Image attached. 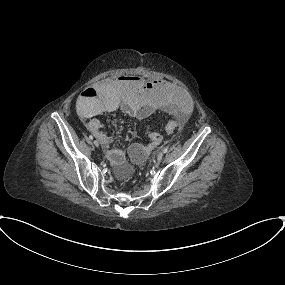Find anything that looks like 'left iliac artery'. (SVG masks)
<instances>
[{
  "mask_svg": "<svg viewBox=\"0 0 285 285\" xmlns=\"http://www.w3.org/2000/svg\"><path fill=\"white\" fill-rule=\"evenodd\" d=\"M167 151H168V147H165V148L163 149V152L166 153Z\"/></svg>",
  "mask_w": 285,
  "mask_h": 285,
  "instance_id": "left-iliac-artery-1",
  "label": "left iliac artery"
}]
</instances>
